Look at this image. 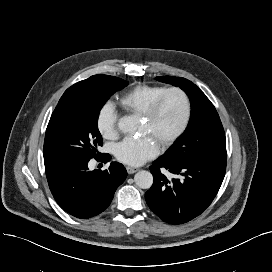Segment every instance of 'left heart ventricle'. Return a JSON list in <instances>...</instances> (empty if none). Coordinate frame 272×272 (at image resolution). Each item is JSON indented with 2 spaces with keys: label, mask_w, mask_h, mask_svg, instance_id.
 I'll list each match as a JSON object with an SVG mask.
<instances>
[{
  "label": "left heart ventricle",
  "mask_w": 272,
  "mask_h": 272,
  "mask_svg": "<svg viewBox=\"0 0 272 272\" xmlns=\"http://www.w3.org/2000/svg\"><path fill=\"white\" fill-rule=\"evenodd\" d=\"M184 113V105L178 94L172 93L164 100L157 116L149 121L146 119L143 132L150 135L157 144L174 132L180 125Z\"/></svg>",
  "instance_id": "1"
}]
</instances>
